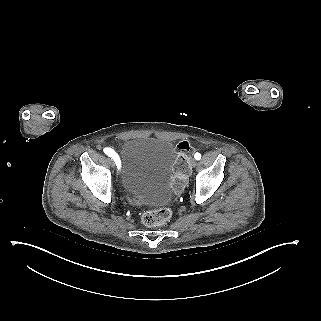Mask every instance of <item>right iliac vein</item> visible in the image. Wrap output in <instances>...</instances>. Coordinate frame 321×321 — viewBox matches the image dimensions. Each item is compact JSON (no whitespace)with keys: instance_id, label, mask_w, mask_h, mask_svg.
Masks as SVG:
<instances>
[{"instance_id":"63e3f726","label":"right iliac vein","mask_w":321,"mask_h":321,"mask_svg":"<svg viewBox=\"0 0 321 321\" xmlns=\"http://www.w3.org/2000/svg\"><path fill=\"white\" fill-rule=\"evenodd\" d=\"M109 164H110L112 167H114V166H115V162H114V160H112V158H111V159H109Z\"/></svg>"}]
</instances>
